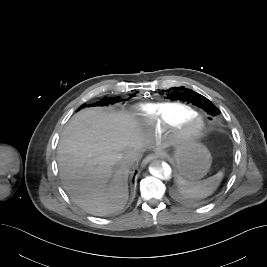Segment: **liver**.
<instances>
[{"mask_svg": "<svg viewBox=\"0 0 267 267\" xmlns=\"http://www.w3.org/2000/svg\"><path fill=\"white\" fill-rule=\"evenodd\" d=\"M149 144L128 114L87 108L66 125L58 148L63 187L79 207L104 216L128 200L129 167L124 156Z\"/></svg>", "mask_w": 267, "mask_h": 267, "instance_id": "6515ba94", "label": "liver"}]
</instances>
